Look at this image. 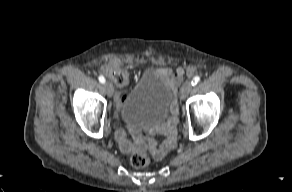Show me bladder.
I'll use <instances>...</instances> for the list:
<instances>
[{"label":"bladder","mask_w":292,"mask_h":192,"mask_svg":"<svg viewBox=\"0 0 292 192\" xmlns=\"http://www.w3.org/2000/svg\"><path fill=\"white\" fill-rule=\"evenodd\" d=\"M173 100L169 82L155 71H147L125 93L120 112L131 125H155L167 119Z\"/></svg>","instance_id":"31cf9c89"}]
</instances>
